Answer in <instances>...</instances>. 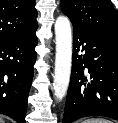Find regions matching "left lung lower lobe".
Segmentation results:
<instances>
[{
	"label": "left lung lower lobe",
	"instance_id": "left-lung-lower-lobe-1",
	"mask_svg": "<svg viewBox=\"0 0 118 123\" xmlns=\"http://www.w3.org/2000/svg\"><path fill=\"white\" fill-rule=\"evenodd\" d=\"M88 116L118 120V41L73 29L72 73L62 123Z\"/></svg>",
	"mask_w": 118,
	"mask_h": 123
}]
</instances>
